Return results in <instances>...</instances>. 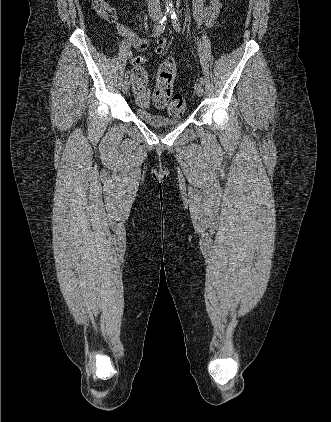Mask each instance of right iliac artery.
<instances>
[{"label": "right iliac artery", "mask_w": 331, "mask_h": 422, "mask_svg": "<svg viewBox=\"0 0 331 422\" xmlns=\"http://www.w3.org/2000/svg\"><path fill=\"white\" fill-rule=\"evenodd\" d=\"M166 24H167V12H165L164 13V15H163V17H162V19L159 21V23L155 26V28H154V30H153V34H152V36H158V35H160L161 33H163L164 32V30H165V27H166ZM129 74H130V72L129 71H127L126 73H125V79L126 80H128V78H129Z\"/></svg>", "instance_id": "right-iliac-artery-1"}]
</instances>
